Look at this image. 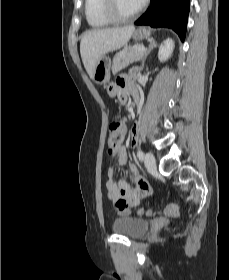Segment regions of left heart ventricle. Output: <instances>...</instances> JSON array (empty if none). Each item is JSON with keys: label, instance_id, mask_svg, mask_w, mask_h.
Returning <instances> with one entry per match:
<instances>
[{"label": "left heart ventricle", "instance_id": "1", "mask_svg": "<svg viewBox=\"0 0 229 280\" xmlns=\"http://www.w3.org/2000/svg\"><path fill=\"white\" fill-rule=\"evenodd\" d=\"M117 8L123 15H130L138 9L135 0H116Z\"/></svg>", "mask_w": 229, "mask_h": 280}]
</instances>
